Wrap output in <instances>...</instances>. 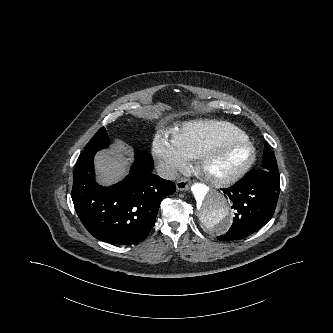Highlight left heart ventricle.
<instances>
[{
  "instance_id": "obj_1",
  "label": "left heart ventricle",
  "mask_w": 333,
  "mask_h": 333,
  "mask_svg": "<svg viewBox=\"0 0 333 333\" xmlns=\"http://www.w3.org/2000/svg\"><path fill=\"white\" fill-rule=\"evenodd\" d=\"M243 144L233 142L218 148L208 162V170L213 174H225L235 169L246 157Z\"/></svg>"
}]
</instances>
